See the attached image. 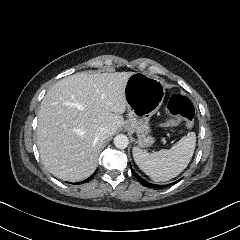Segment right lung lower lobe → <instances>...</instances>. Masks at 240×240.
<instances>
[{"instance_id":"1","label":"right lung lower lobe","mask_w":240,"mask_h":240,"mask_svg":"<svg viewBox=\"0 0 240 240\" xmlns=\"http://www.w3.org/2000/svg\"><path fill=\"white\" fill-rule=\"evenodd\" d=\"M91 178H92V176H91V177H89L88 179H86V180H84V181L80 182V183H86V182H88V181H89Z\"/></svg>"}]
</instances>
